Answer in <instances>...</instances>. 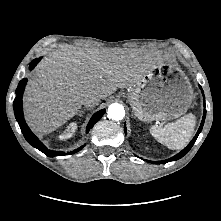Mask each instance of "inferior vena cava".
Listing matches in <instances>:
<instances>
[{
  "instance_id": "obj_1",
  "label": "inferior vena cava",
  "mask_w": 221,
  "mask_h": 221,
  "mask_svg": "<svg viewBox=\"0 0 221 221\" xmlns=\"http://www.w3.org/2000/svg\"><path fill=\"white\" fill-rule=\"evenodd\" d=\"M99 101H100V99H99L98 95L89 92L84 95L83 105L87 108H92V107L98 105Z\"/></svg>"
}]
</instances>
